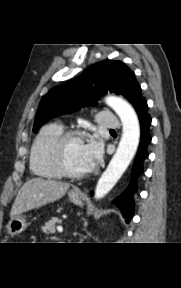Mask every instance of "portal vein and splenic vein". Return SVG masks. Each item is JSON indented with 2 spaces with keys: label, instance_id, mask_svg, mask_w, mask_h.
I'll return each mask as SVG.
<instances>
[{
  "label": "portal vein and splenic vein",
  "instance_id": "1",
  "mask_svg": "<svg viewBox=\"0 0 181 288\" xmlns=\"http://www.w3.org/2000/svg\"><path fill=\"white\" fill-rule=\"evenodd\" d=\"M57 229H58L59 232H63L62 227H58Z\"/></svg>",
  "mask_w": 181,
  "mask_h": 288
}]
</instances>
